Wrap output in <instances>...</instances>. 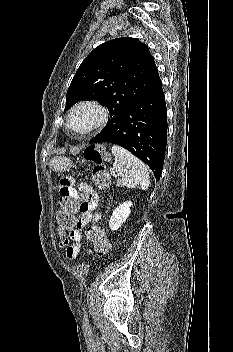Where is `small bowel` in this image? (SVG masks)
Here are the masks:
<instances>
[{"label": "small bowel", "instance_id": "obj_1", "mask_svg": "<svg viewBox=\"0 0 233 352\" xmlns=\"http://www.w3.org/2000/svg\"><path fill=\"white\" fill-rule=\"evenodd\" d=\"M85 193L89 196V200L85 205L79 206V218L76 227L70 231L69 238L74 242L66 248L68 258H75L80 252V241L82 238V230L89 224L95 223L100 219L98 197L97 194L89 187H83ZM60 193L64 197L78 199L77 190L71 185L68 179H64L60 186Z\"/></svg>", "mask_w": 233, "mask_h": 352}]
</instances>
